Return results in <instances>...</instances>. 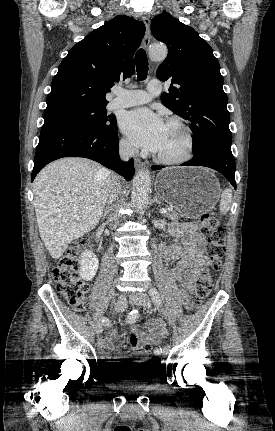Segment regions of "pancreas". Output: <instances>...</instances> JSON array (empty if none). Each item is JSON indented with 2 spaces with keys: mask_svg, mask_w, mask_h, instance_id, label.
Masks as SVG:
<instances>
[{
  "mask_svg": "<svg viewBox=\"0 0 275 431\" xmlns=\"http://www.w3.org/2000/svg\"><path fill=\"white\" fill-rule=\"evenodd\" d=\"M165 217H167L168 219H172L174 221H178V220H180L182 215L173 211V210H170L167 213H165Z\"/></svg>",
  "mask_w": 275,
  "mask_h": 431,
  "instance_id": "cf45deb5",
  "label": "pancreas"
}]
</instances>
